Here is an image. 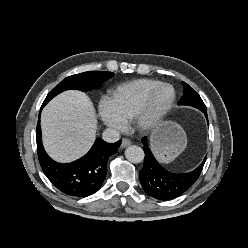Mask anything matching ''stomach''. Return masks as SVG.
Segmentation results:
<instances>
[{
  "label": "stomach",
  "instance_id": "0dacf381",
  "mask_svg": "<svg viewBox=\"0 0 248 248\" xmlns=\"http://www.w3.org/2000/svg\"><path fill=\"white\" fill-rule=\"evenodd\" d=\"M150 143L156 158L167 164L184 151L187 137L179 124L165 121L152 131Z\"/></svg>",
  "mask_w": 248,
  "mask_h": 248
}]
</instances>
